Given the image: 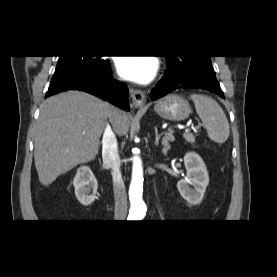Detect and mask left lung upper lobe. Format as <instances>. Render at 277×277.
Here are the masks:
<instances>
[{
	"instance_id": "obj_1",
	"label": "left lung upper lobe",
	"mask_w": 277,
	"mask_h": 277,
	"mask_svg": "<svg viewBox=\"0 0 277 277\" xmlns=\"http://www.w3.org/2000/svg\"><path fill=\"white\" fill-rule=\"evenodd\" d=\"M168 71L185 72L192 69H213L210 56H165Z\"/></svg>"
}]
</instances>
